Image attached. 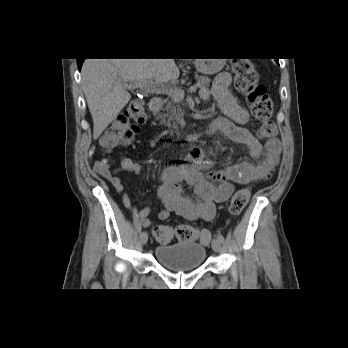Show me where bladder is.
I'll return each mask as SVG.
<instances>
[{"label": "bladder", "mask_w": 348, "mask_h": 348, "mask_svg": "<svg viewBox=\"0 0 348 348\" xmlns=\"http://www.w3.org/2000/svg\"><path fill=\"white\" fill-rule=\"evenodd\" d=\"M155 257L171 271L186 272L204 263L206 250L203 245L192 241L163 244L155 248Z\"/></svg>", "instance_id": "bladder-1"}]
</instances>
